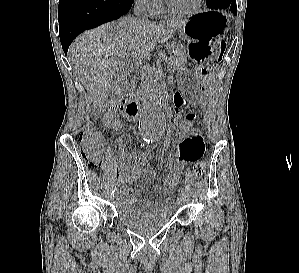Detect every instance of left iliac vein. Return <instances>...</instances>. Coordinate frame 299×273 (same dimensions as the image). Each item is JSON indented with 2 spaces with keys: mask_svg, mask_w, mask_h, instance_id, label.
<instances>
[{
  "mask_svg": "<svg viewBox=\"0 0 299 273\" xmlns=\"http://www.w3.org/2000/svg\"><path fill=\"white\" fill-rule=\"evenodd\" d=\"M184 202H185V197H184V195L180 194L178 196L177 203H178V205H182V204H184Z\"/></svg>",
  "mask_w": 299,
  "mask_h": 273,
  "instance_id": "left-iliac-vein-1",
  "label": "left iliac vein"
}]
</instances>
